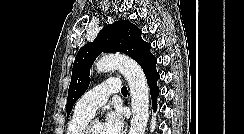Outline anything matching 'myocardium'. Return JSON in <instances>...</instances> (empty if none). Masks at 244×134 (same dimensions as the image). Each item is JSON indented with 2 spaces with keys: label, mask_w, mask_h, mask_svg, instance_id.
Segmentation results:
<instances>
[{
  "label": "myocardium",
  "mask_w": 244,
  "mask_h": 134,
  "mask_svg": "<svg viewBox=\"0 0 244 134\" xmlns=\"http://www.w3.org/2000/svg\"><path fill=\"white\" fill-rule=\"evenodd\" d=\"M96 122H98V121H96V120H91V121H89V122L86 124L85 128L83 129L82 134H92V128H93V125H94Z\"/></svg>",
  "instance_id": "1"
}]
</instances>
